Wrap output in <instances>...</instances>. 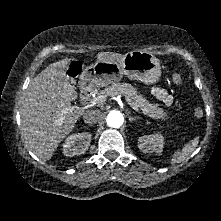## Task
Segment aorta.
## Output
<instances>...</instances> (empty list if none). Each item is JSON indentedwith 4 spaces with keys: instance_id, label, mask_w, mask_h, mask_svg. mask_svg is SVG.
<instances>
[{
    "instance_id": "1",
    "label": "aorta",
    "mask_w": 221,
    "mask_h": 221,
    "mask_svg": "<svg viewBox=\"0 0 221 221\" xmlns=\"http://www.w3.org/2000/svg\"><path fill=\"white\" fill-rule=\"evenodd\" d=\"M106 121L109 127L120 128L123 124L124 118L120 111L112 110L109 112Z\"/></svg>"
}]
</instances>
